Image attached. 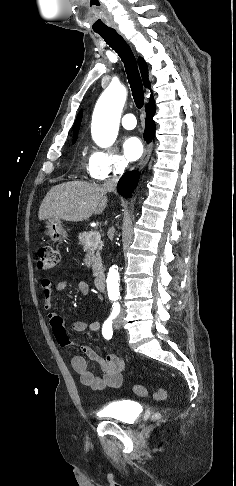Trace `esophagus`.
<instances>
[{
	"label": "esophagus",
	"mask_w": 236,
	"mask_h": 486,
	"mask_svg": "<svg viewBox=\"0 0 236 486\" xmlns=\"http://www.w3.org/2000/svg\"><path fill=\"white\" fill-rule=\"evenodd\" d=\"M117 31L118 29L115 28ZM119 32V31H118ZM151 144L147 145L146 148H145V151L143 153V156L141 157L138 165H137V168L141 169L143 166H145V164L147 163L149 157H150V154H151Z\"/></svg>",
	"instance_id": "1"
}]
</instances>
